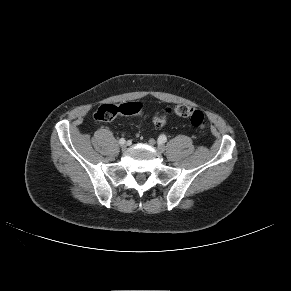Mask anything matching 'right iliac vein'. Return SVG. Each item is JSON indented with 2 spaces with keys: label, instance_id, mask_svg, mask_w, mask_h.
<instances>
[{
  "label": "right iliac vein",
  "instance_id": "1",
  "mask_svg": "<svg viewBox=\"0 0 291 291\" xmlns=\"http://www.w3.org/2000/svg\"><path fill=\"white\" fill-rule=\"evenodd\" d=\"M127 148V145H126V143H124V144H121V149L122 150H125Z\"/></svg>",
  "mask_w": 291,
  "mask_h": 291
}]
</instances>
